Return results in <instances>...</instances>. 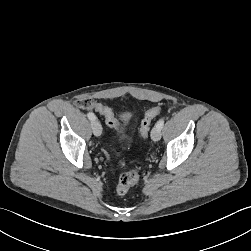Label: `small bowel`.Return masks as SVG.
Wrapping results in <instances>:
<instances>
[{"label": "small bowel", "instance_id": "c3829d8e", "mask_svg": "<svg viewBox=\"0 0 251 251\" xmlns=\"http://www.w3.org/2000/svg\"><path fill=\"white\" fill-rule=\"evenodd\" d=\"M93 103V99L90 96H86L84 99L78 98L74 100L73 107L76 110H84L89 109Z\"/></svg>", "mask_w": 251, "mask_h": 251}]
</instances>
